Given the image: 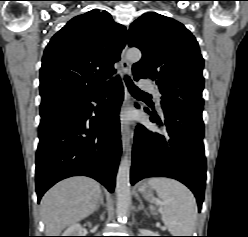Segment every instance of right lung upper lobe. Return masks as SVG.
Masks as SVG:
<instances>
[{
    "instance_id": "1",
    "label": "right lung upper lobe",
    "mask_w": 248,
    "mask_h": 237,
    "mask_svg": "<svg viewBox=\"0 0 248 237\" xmlns=\"http://www.w3.org/2000/svg\"><path fill=\"white\" fill-rule=\"evenodd\" d=\"M124 26L107 11H89L71 19L44 51L40 69L41 104L82 98L102 88L116 73L126 45Z\"/></svg>"
}]
</instances>
